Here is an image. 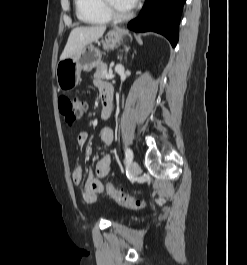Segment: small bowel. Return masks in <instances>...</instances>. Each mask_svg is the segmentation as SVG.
<instances>
[{
    "label": "small bowel",
    "mask_w": 247,
    "mask_h": 265,
    "mask_svg": "<svg viewBox=\"0 0 247 265\" xmlns=\"http://www.w3.org/2000/svg\"><path fill=\"white\" fill-rule=\"evenodd\" d=\"M96 86L103 93L111 87L104 82L96 81ZM113 111V106H112ZM112 113V112H111ZM102 144L106 147L110 146L113 141V132L110 128H102L99 133ZM89 135L87 132H80L77 137V143L80 147H83L88 141ZM111 170V158L109 155L102 157L96 164L95 171L89 170L84 188L82 191V198L88 204H94L98 202L99 194L104 192L105 187L100 179L106 177ZM72 180L74 184L79 185L83 180V170L81 166H77L72 173Z\"/></svg>",
    "instance_id": "c3829d8e"
}]
</instances>
